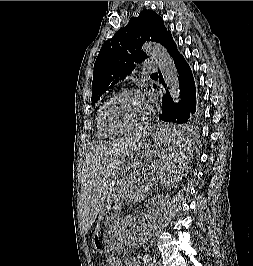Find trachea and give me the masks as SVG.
Listing matches in <instances>:
<instances>
[{
  "mask_svg": "<svg viewBox=\"0 0 253 266\" xmlns=\"http://www.w3.org/2000/svg\"><path fill=\"white\" fill-rule=\"evenodd\" d=\"M152 75H157V73H153Z\"/></svg>",
  "mask_w": 253,
  "mask_h": 266,
  "instance_id": "obj_1",
  "label": "trachea"
}]
</instances>
